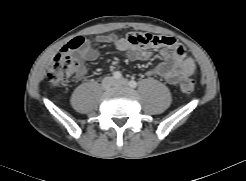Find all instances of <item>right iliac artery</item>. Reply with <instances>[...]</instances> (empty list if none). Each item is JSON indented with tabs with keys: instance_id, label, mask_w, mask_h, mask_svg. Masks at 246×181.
I'll list each match as a JSON object with an SVG mask.
<instances>
[{
	"instance_id": "obj_1",
	"label": "right iliac artery",
	"mask_w": 246,
	"mask_h": 181,
	"mask_svg": "<svg viewBox=\"0 0 246 181\" xmlns=\"http://www.w3.org/2000/svg\"><path fill=\"white\" fill-rule=\"evenodd\" d=\"M113 77L118 80L122 78V74L119 71H116L113 73Z\"/></svg>"
}]
</instances>
